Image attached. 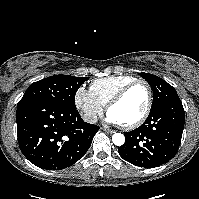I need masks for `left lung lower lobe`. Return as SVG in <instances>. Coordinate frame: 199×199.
Here are the masks:
<instances>
[{
	"label": "left lung lower lobe",
	"mask_w": 199,
	"mask_h": 199,
	"mask_svg": "<svg viewBox=\"0 0 199 199\" xmlns=\"http://www.w3.org/2000/svg\"><path fill=\"white\" fill-rule=\"evenodd\" d=\"M185 113L180 99L151 109L145 122L131 132H124L120 156L131 164L155 168L173 158L180 146Z\"/></svg>",
	"instance_id": "0a47b994"
}]
</instances>
